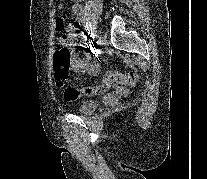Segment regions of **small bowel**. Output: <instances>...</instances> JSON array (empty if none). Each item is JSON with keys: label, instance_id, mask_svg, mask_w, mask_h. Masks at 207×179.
Instances as JSON below:
<instances>
[{"label": "small bowel", "instance_id": "1", "mask_svg": "<svg viewBox=\"0 0 207 179\" xmlns=\"http://www.w3.org/2000/svg\"><path fill=\"white\" fill-rule=\"evenodd\" d=\"M73 1V13L81 20L80 27H84L85 19L83 17V5L82 0H72ZM76 27L72 24L68 25L66 32L68 33V46L71 50V65L75 71L81 73H89L93 76L97 75L99 72V66L97 64H92L91 60V51L90 49L86 50L87 57L81 58L78 52L74 49L77 44V36L75 34Z\"/></svg>", "mask_w": 207, "mask_h": 179}]
</instances>
